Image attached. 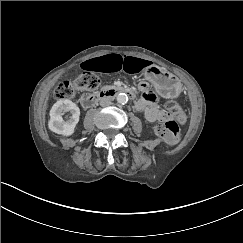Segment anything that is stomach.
<instances>
[{"label":"stomach","instance_id":"stomach-1","mask_svg":"<svg viewBox=\"0 0 243 243\" xmlns=\"http://www.w3.org/2000/svg\"><path fill=\"white\" fill-rule=\"evenodd\" d=\"M144 75L154 85L158 93L165 98H176L181 92L180 81L158 66L150 65L146 67Z\"/></svg>","mask_w":243,"mask_h":243}]
</instances>
